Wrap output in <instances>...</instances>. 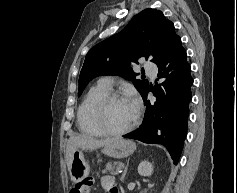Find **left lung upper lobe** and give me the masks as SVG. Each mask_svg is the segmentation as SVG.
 Masks as SVG:
<instances>
[{"mask_svg": "<svg viewBox=\"0 0 237 193\" xmlns=\"http://www.w3.org/2000/svg\"><path fill=\"white\" fill-rule=\"evenodd\" d=\"M179 39L173 23L161 11L143 10L121 32L89 50L80 72L78 95L91 79L107 74L131 80L142 95L149 86L148 81L137 80L130 65L138 63L140 57H151L158 64Z\"/></svg>", "mask_w": 237, "mask_h": 193, "instance_id": "left-lung-upper-lobe-1", "label": "left lung upper lobe"}]
</instances>
